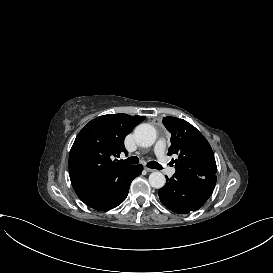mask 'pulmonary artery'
<instances>
[{
  "label": "pulmonary artery",
  "mask_w": 273,
  "mask_h": 273,
  "mask_svg": "<svg viewBox=\"0 0 273 273\" xmlns=\"http://www.w3.org/2000/svg\"><path fill=\"white\" fill-rule=\"evenodd\" d=\"M167 144V139H159L158 144L155 146V151L159 154V160L161 161V166L166 172V176L168 178H173L175 176V170L173 169V165L171 164V161L168 159V155L166 154L165 146H167Z\"/></svg>",
  "instance_id": "1"
}]
</instances>
